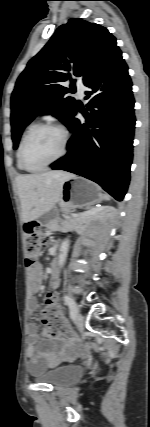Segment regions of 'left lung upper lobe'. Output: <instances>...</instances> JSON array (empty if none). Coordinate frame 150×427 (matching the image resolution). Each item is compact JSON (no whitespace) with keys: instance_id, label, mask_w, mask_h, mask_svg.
I'll return each instance as SVG.
<instances>
[{"instance_id":"1","label":"left lung upper lobe","mask_w":150,"mask_h":427,"mask_svg":"<svg viewBox=\"0 0 150 427\" xmlns=\"http://www.w3.org/2000/svg\"><path fill=\"white\" fill-rule=\"evenodd\" d=\"M117 47L115 37L105 27L71 18L61 25L44 48L33 57L19 76L11 97V132L18 143L24 128L38 113L52 114L65 125L76 101L61 85L71 74L85 82ZM75 80H71L74 87Z\"/></svg>"}]
</instances>
